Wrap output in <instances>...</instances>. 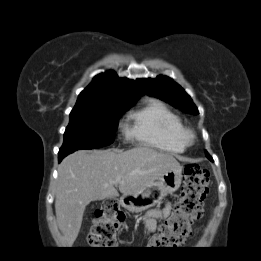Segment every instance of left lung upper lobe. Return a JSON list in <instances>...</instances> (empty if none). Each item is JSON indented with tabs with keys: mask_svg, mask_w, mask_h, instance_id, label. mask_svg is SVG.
Returning <instances> with one entry per match:
<instances>
[{
	"mask_svg": "<svg viewBox=\"0 0 261 261\" xmlns=\"http://www.w3.org/2000/svg\"><path fill=\"white\" fill-rule=\"evenodd\" d=\"M138 83L144 94L160 98L183 112L193 115L198 114V110L190 96L169 77L160 75L155 79L138 80ZM206 157L213 161L207 152Z\"/></svg>",
	"mask_w": 261,
	"mask_h": 261,
	"instance_id": "5c2ea615",
	"label": "left lung upper lobe"
}]
</instances>
